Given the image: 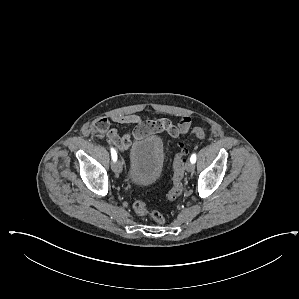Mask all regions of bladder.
<instances>
[{
    "mask_svg": "<svg viewBox=\"0 0 299 299\" xmlns=\"http://www.w3.org/2000/svg\"><path fill=\"white\" fill-rule=\"evenodd\" d=\"M164 150L159 139L150 137L134 142L129 151L128 177L135 186H149L162 171Z\"/></svg>",
    "mask_w": 299,
    "mask_h": 299,
    "instance_id": "31cf9c89",
    "label": "bladder"
}]
</instances>
